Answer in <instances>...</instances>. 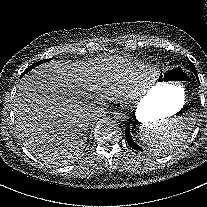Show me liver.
<instances>
[{"label":"liver","instance_id":"6515ba94","mask_svg":"<svg viewBox=\"0 0 207 207\" xmlns=\"http://www.w3.org/2000/svg\"><path fill=\"white\" fill-rule=\"evenodd\" d=\"M85 63H45L27 73L13 99L15 131L24 146L39 157L54 152L80 153L95 105L87 91L96 80ZM53 155V153H52Z\"/></svg>","mask_w":207,"mask_h":207}]
</instances>
